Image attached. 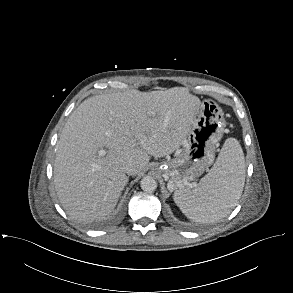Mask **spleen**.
Segmentation results:
<instances>
[{
  "instance_id": "1",
  "label": "spleen",
  "mask_w": 293,
  "mask_h": 293,
  "mask_svg": "<svg viewBox=\"0 0 293 293\" xmlns=\"http://www.w3.org/2000/svg\"><path fill=\"white\" fill-rule=\"evenodd\" d=\"M245 183L243 150L235 138L226 139L216 162L199 185L174 193V202L189 219L214 223L230 214Z\"/></svg>"
}]
</instances>
